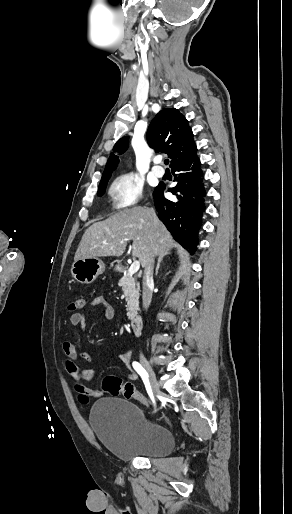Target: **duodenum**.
<instances>
[{
    "instance_id": "duodenum-1",
    "label": "duodenum",
    "mask_w": 292,
    "mask_h": 514,
    "mask_svg": "<svg viewBox=\"0 0 292 514\" xmlns=\"http://www.w3.org/2000/svg\"><path fill=\"white\" fill-rule=\"evenodd\" d=\"M130 327H131V331L134 334H138L140 329H141V319H140V317H138V316L132 317L131 321H130Z\"/></svg>"
}]
</instances>
